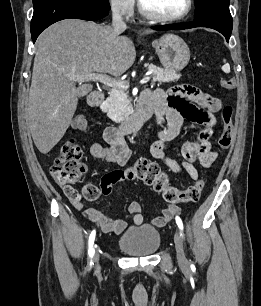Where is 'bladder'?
Wrapping results in <instances>:
<instances>
[{
  "label": "bladder",
  "mask_w": 261,
  "mask_h": 306,
  "mask_svg": "<svg viewBox=\"0 0 261 306\" xmlns=\"http://www.w3.org/2000/svg\"><path fill=\"white\" fill-rule=\"evenodd\" d=\"M159 231L151 225L128 228L117 241L118 248L131 256H149L160 247Z\"/></svg>",
  "instance_id": "bladder-1"
}]
</instances>
